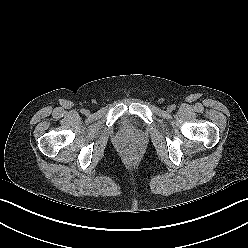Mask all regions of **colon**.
Segmentation results:
<instances>
[{
    "label": "colon",
    "mask_w": 248,
    "mask_h": 248,
    "mask_svg": "<svg viewBox=\"0 0 248 248\" xmlns=\"http://www.w3.org/2000/svg\"><path fill=\"white\" fill-rule=\"evenodd\" d=\"M125 159L127 161H129V162H133V161H135L136 156H135V154L133 152L128 151V152L125 153Z\"/></svg>",
    "instance_id": "obj_1"
}]
</instances>
